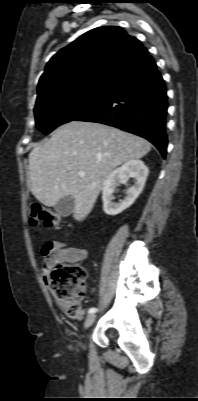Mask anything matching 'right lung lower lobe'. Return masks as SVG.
I'll return each instance as SVG.
<instances>
[{
	"label": "right lung lower lobe",
	"mask_w": 198,
	"mask_h": 401,
	"mask_svg": "<svg viewBox=\"0 0 198 401\" xmlns=\"http://www.w3.org/2000/svg\"><path fill=\"white\" fill-rule=\"evenodd\" d=\"M166 114L164 81L148 54L140 64L112 81L101 99L74 120L102 123L141 136L165 158Z\"/></svg>",
	"instance_id": "right-lung-lower-lobe-1"
}]
</instances>
